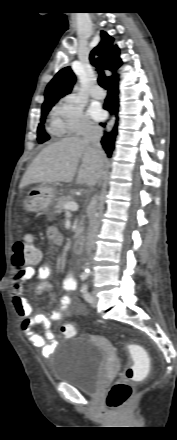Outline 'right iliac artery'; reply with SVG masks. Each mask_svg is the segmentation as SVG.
<instances>
[{
	"instance_id": "1",
	"label": "right iliac artery",
	"mask_w": 177,
	"mask_h": 440,
	"mask_svg": "<svg viewBox=\"0 0 177 440\" xmlns=\"http://www.w3.org/2000/svg\"><path fill=\"white\" fill-rule=\"evenodd\" d=\"M87 277H88V274H86V273H82L81 276H80L82 281L86 280Z\"/></svg>"
}]
</instances>
